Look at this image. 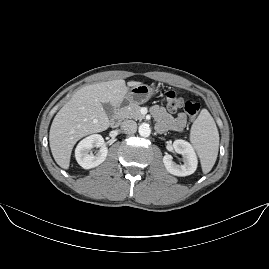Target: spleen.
Masks as SVG:
<instances>
[{"mask_svg": "<svg viewBox=\"0 0 269 269\" xmlns=\"http://www.w3.org/2000/svg\"><path fill=\"white\" fill-rule=\"evenodd\" d=\"M190 141L200 158L203 173L207 174L216 162L219 149L218 129L207 109H202L194 121Z\"/></svg>", "mask_w": 269, "mask_h": 269, "instance_id": "obj_1", "label": "spleen"}]
</instances>
